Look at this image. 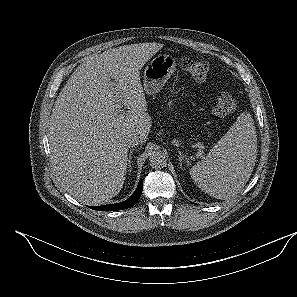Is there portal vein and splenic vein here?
<instances>
[{
  "instance_id": "obj_1",
  "label": "portal vein and splenic vein",
  "mask_w": 297,
  "mask_h": 297,
  "mask_svg": "<svg viewBox=\"0 0 297 297\" xmlns=\"http://www.w3.org/2000/svg\"><path fill=\"white\" fill-rule=\"evenodd\" d=\"M115 106L117 109H121V107H122L120 99L118 98L117 95H116V105ZM195 146L198 148V156L202 157V155L204 153L205 146L201 143H197Z\"/></svg>"
}]
</instances>
